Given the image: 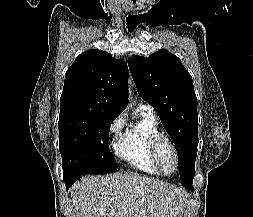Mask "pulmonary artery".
Masks as SVG:
<instances>
[{"label":"pulmonary artery","mask_w":253,"mask_h":217,"mask_svg":"<svg viewBox=\"0 0 253 217\" xmlns=\"http://www.w3.org/2000/svg\"><path fill=\"white\" fill-rule=\"evenodd\" d=\"M141 107H143V108H145V109H147V110H149V111H151L153 113V110L149 106H147V105H141Z\"/></svg>","instance_id":"e3ab8cb5"}]
</instances>
